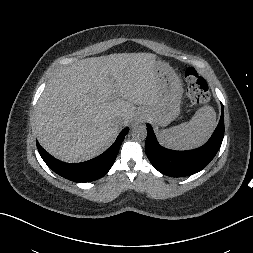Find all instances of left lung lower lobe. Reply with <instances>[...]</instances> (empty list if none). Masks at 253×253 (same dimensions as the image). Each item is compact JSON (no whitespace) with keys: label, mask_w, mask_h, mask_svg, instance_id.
I'll use <instances>...</instances> for the list:
<instances>
[{"label":"left lung lower lobe","mask_w":253,"mask_h":253,"mask_svg":"<svg viewBox=\"0 0 253 253\" xmlns=\"http://www.w3.org/2000/svg\"><path fill=\"white\" fill-rule=\"evenodd\" d=\"M224 137V109L211 138L201 147L191 151H172L161 147L152 127L147 124L145 151L152 165L171 177H183L205 168L218 152Z\"/></svg>","instance_id":"left-lung-lower-lobe-1"}]
</instances>
